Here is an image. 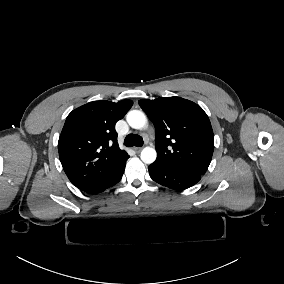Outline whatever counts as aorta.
Here are the masks:
<instances>
[{
  "mask_svg": "<svg viewBox=\"0 0 284 284\" xmlns=\"http://www.w3.org/2000/svg\"><path fill=\"white\" fill-rule=\"evenodd\" d=\"M126 120L134 129H142L146 126L147 119L145 114L139 110H131L127 113ZM141 160L146 164H151L156 160L157 153L152 147H145L141 151Z\"/></svg>",
  "mask_w": 284,
  "mask_h": 284,
  "instance_id": "1",
  "label": "aorta"
}]
</instances>
